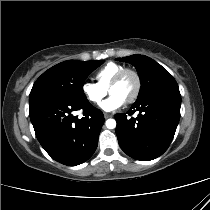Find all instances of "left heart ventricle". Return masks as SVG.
I'll return each instance as SVG.
<instances>
[{
    "mask_svg": "<svg viewBox=\"0 0 210 210\" xmlns=\"http://www.w3.org/2000/svg\"><path fill=\"white\" fill-rule=\"evenodd\" d=\"M136 88V80L133 75H126L123 80L113 87L109 93L120 96L124 101L132 96Z\"/></svg>",
    "mask_w": 210,
    "mask_h": 210,
    "instance_id": "obj_1",
    "label": "left heart ventricle"
}]
</instances>
